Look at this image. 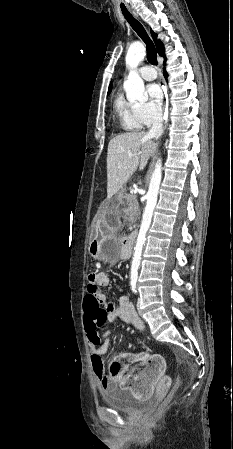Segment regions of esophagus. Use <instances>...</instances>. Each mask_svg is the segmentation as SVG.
Here are the masks:
<instances>
[{
    "mask_svg": "<svg viewBox=\"0 0 233 449\" xmlns=\"http://www.w3.org/2000/svg\"><path fill=\"white\" fill-rule=\"evenodd\" d=\"M127 8L129 12L134 16V18L140 20L138 12L133 7L128 6Z\"/></svg>",
    "mask_w": 233,
    "mask_h": 449,
    "instance_id": "1",
    "label": "esophagus"
}]
</instances>
